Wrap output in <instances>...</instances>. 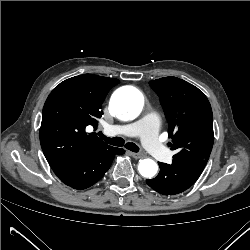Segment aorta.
Returning <instances> with one entry per match:
<instances>
[{"label": "aorta", "mask_w": 250, "mask_h": 250, "mask_svg": "<svg viewBox=\"0 0 250 250\" xmlns=\"http://www.w3.org/2000/svg\"><path fill=\"white\" fill-rule=\"evenodd\" d=\"M144 100L141 94L133 87H124L116 91L110 101V111L122 119L137 117L142 111ZM139 173L146 178L153 177L158 170L156 162L152 159L139 161Z\"/></svg>", "instance_id": "762f6f07"}]
</instances>
